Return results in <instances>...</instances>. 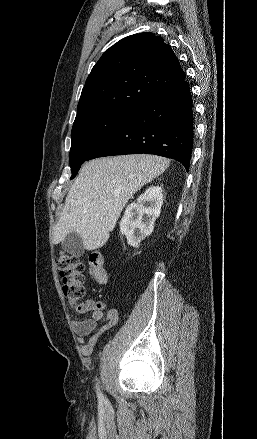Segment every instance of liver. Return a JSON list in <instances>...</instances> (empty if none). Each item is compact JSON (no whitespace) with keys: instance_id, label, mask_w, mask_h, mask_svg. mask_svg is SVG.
<instances>
[{"instance_id":"liver-1","label":"liver","mask_w":257,"mask_h":439,"mask_svg":"<svg viewBox=\"0 0 257 439\" xmlns=\"http://www.w3.org/2000/svg\"><path fill=\"white\" fill-rule=\"evenodd\" d=\"M168 166V159L148 154L104 157L85 163L67 194L55 226L54 244L75 232L81 236L84 249L101 248L131 196Z\"/></svg>"}]
</instances>
